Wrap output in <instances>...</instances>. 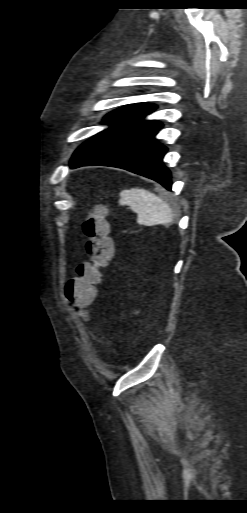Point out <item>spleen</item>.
Returning <instances> with one entry per match:
<instances>
[{
    "label": "spleen",
    "instance_id": "spleen-1",
    "mask_svg": "<svg viewBox=\"0 0 247 513\" xmlns=\"http://www.w3.org/2000/svg\"><path fill=\"white\" fill-rule=\"evenodd\" d=\"M119 204L128 205L133 212L137 213L139 224H166L173 220L174 215L169 204L146 189L122 190Z\"/></svg>",
    "mask_w": 247,
    "mask_h": 513
}]
</instances>
